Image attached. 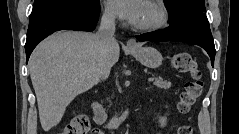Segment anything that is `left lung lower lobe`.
<instances>
[{"instance_id": "left-lung-lower-lobe-1", "label": "left lung lower lobe", "mask_w": 239, "mask_h": 134, "mask_svg": "<svg viewBox=\"0 0 239 134\" xmlns=\"http://www.w3.org/2000/svg\"><path fill=\"white\" fill-rule=\"evenodd\" d=\"M136 38L141 41H179L199 45L207 51L214 66V41L208 19L202 11H189L168 28L137 35Z\"/></svg>"}]
</instances>
